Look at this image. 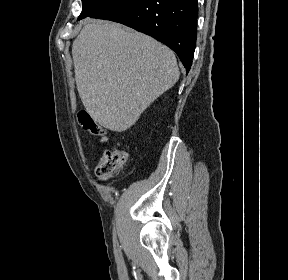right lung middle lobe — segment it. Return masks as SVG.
Returning a JSON list of instances; mask_svg holds the SVG:
<instances>
[{
	"instance_id": "right-lung-middle-lobe-1",
	"label": "right lung middle lobe",
	"mask_w": 288,
	"mask_h": 280,
	"mask_svg": "<svg viewBox=\"0 0 288 280\" xmlns=\"http://www.w3.org/2000/svg\"><path fill=\"white\" fill-rule=\"evenodd\" d=\"M110 1L111 0H82V12L78 17V20L90 16L98 8Z\"/></svg>"
}]
</instances>
